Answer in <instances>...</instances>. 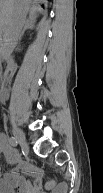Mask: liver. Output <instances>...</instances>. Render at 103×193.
<instances>
[{"mask_svg": "<svg viewBox=\"0 0 103 193\" xmlns=\"http://www.w3.org/2000/svg\"><path fill=\"white\" fill-rule=\"evenodd\" d=\"M30 9L29 0H0V29L5 39L10 36L11 26L17 14ZM36 8L32 9L30 19L36 18ZM5 40V41H6Z\"/></svg>", "mask_w": 103, "mask_h": 193, "instance_id": "1", "label": "liver"}]
</instances>
